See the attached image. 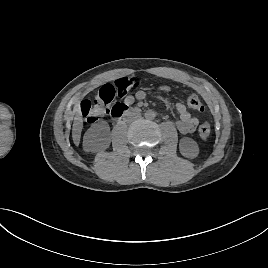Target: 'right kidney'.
Wrapping results in <instances>:
<instances>
[{
    "label": "right kidney",
    "mask_w": 268,
    "mask_h": 268,
    "mask_svg": "<svg viewBox=\"0 0 268 268\" xmlns=\"http://www.w3.org/2000/svg\"><path fill=\"white\" fill-rule=\"evenodd\" d=\"M110 128L106 122L92 125L84 135L83 147L87 152L105 150L110 145Z\"/></svg>",
    "instance_id": "right-kidney-1"
}]
</instances>
